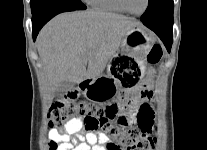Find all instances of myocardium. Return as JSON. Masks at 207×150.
I'll use <instances>...</instances> for the list:
<instances>
[{
	"instance_id": "myocardium-1",
	"label": "myocardium",
	"mask_w": 207,
	"mask_h": 150,
	"mask_svg": "<svg viewBox=\"0 0 207 150\" xmlns=\"http://www.w3.org/2000/svg\"><path fill=\"white\" fill-rule=\"evenodd\" d=\"M117 1L125 12L132 14V15H135V16L143 15L147 11V9L149 7V3H150V0H146L145 7L141 12H133L127 7L125 0H117Z\"/></svg>"
}]
</instances>
